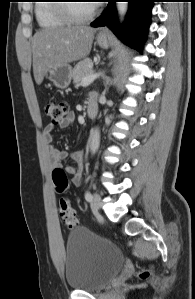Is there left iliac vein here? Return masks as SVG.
<instances>
[{"instance_id": "left-iliac-vein-1", "label": "left iliac vein", "mask_w": 195, "mask_h": 299, "mask_svg": "<svg viewBox=\"0 0 195 299\" xmlns=\"http://www.w3.org/2000/svg\"><path fill=\"white\" fill-rule=\"evenodd\" d=\"M91 209L94 213H97L102 206L101 198L97 193H94L91 200Z\"/></svg>"}]
</instances>
